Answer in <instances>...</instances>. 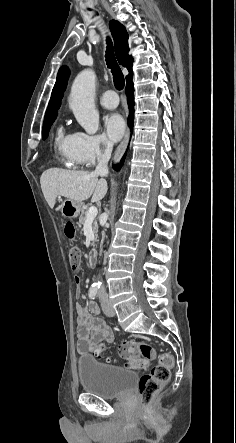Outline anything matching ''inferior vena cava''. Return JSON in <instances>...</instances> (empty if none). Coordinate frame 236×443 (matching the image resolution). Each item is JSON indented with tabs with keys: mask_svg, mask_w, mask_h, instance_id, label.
I'll return each mask as SVG.
<instances>
[{
	"mask_svg": "<svg viewBox=\"0 0 236 443\" xmlns=\"http://www.w3.org/2000/svg\"><path fill=\"white\" fill-rule=\"evenodd\" d=\"M103 144L105 146V149L103 152L97 153V166L94 171L95 174L100 176H107L108 174V161L111 157L113 144L107 139H103ZM99 299L101 304L108 303V296L105 290V287L102 285L99 290Z\"/></svg>",
	"mask_w": 236,
	"mask_h": 443,
	"instance_id": "602c4592",
	"label": "inferior vena cava"
}]
</instances>
